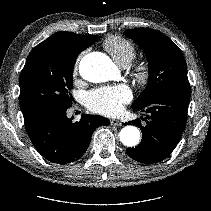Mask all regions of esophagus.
Here are the masks:
<instances>
[{
	"mask_svg": "<svg viewBox=\"0 0 211 211\" xmlns=\"http://www.w3.org/2000/svg\"><path fill=\"white\" fill-rule=\"evenodd\" d=\"M110 123L113 126H121L122 125V123L119 120H117V119H111Z\"/></svg>",
	"mask_w": 211,
	"mask_h": 211,
	"instance_id": "1",
	"label": "esophagus"
}]
</instances>
